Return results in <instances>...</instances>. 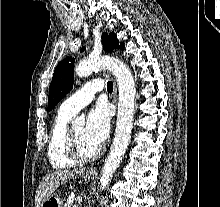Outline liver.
Here are the masks:
<instances>
[{"mask_svg":"<svg viewBox=\"0 0 220 207\" xmlns=\"http://www.w3.org/2000/svg\"><path fill=\"white\" fill-rule=\"evenodd\" d=\"M85 173V169L80 170H57L46 175L40 183L35 197V207H41L43 202L52 196L53 192L68 180L74 179Z\"/></svg>","mask_w":220,"mask_h":207,"instance_id":"obj_1","label":"liver"}]
</instances>
